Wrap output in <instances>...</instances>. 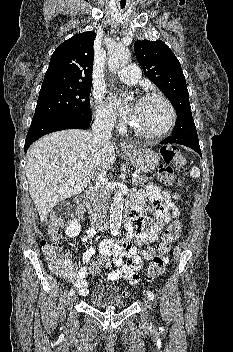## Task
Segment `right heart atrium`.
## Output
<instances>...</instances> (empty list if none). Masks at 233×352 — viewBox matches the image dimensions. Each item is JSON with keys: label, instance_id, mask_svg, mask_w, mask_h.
I'll use <instances>...</instances> for the list:
<instances>
[{"label": "right heart atrium", "instance_id": "d8ad5b80", "mask_svg": "<svg viewBox=\"0 0 233 352\" xmlns=\"http://www.w3.org/2000/svg\"><path fill=\"white\" fill-rule=\"evenodd\" d=\"M96 120L104 126L112 127L116 124V116L100 96H97Z\"/></svg>", "mask_w": 233, "mask_h": 352}]
</instances>
